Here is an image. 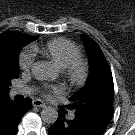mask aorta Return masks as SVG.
Wrapping results in <instances>:
<instances>
[{"label":"aorta","instance_id":"1","mask_svg":"<svg viewBox=\"0 0 135 135\" xmlns=\"http://www.w3.org/2000/svg\"><path fill=\"white\" fill-rule=\"evenodd\" d=\"M32 74L37 80L55 79L57 72L54 67L45 61H38L32 67ZM42 120L47 124H54L58 118V111L54 107H45L41 112Z\"/></svg>","mask_w":135,"mask_h":135}]
</instances>
